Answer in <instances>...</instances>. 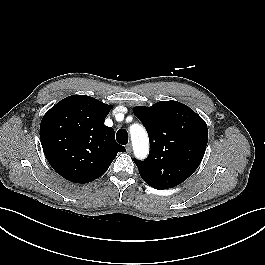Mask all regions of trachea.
<instances>
[{
  "label": "trachea",
  "instance_id": "trachea-1",
  "mask_svg": "<svg viewBox=\"0 0 265 265\" xmlns=\"http://www.w3.org/2000/svg\"><path fill=\"white\" fill-rule=\"evenodd\" d=\"M117 142L126 145L128 143V133L125 129H119L116 134Z\"/></svg>",
  "mask_w": 265,
  "mask_h": 265
}]
</instances>
